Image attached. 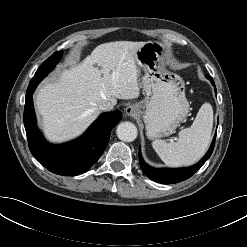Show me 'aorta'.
<instances>
[{"mask_svg": "<svg viewBox=\"0 0 247 247\" xmlns=\"http://www.w3.org/2000/svg\"><path fill=\"white\" fill-rule=\"evenodd\" d=\"M118 138L125 142H132L138 135L137 127L132 122H122L116 129Z\"/></svg>", "mask_w": 247, "mask_h": 247, "instance_id": "aorta-1", "label": "aorta"}]
</instances>
